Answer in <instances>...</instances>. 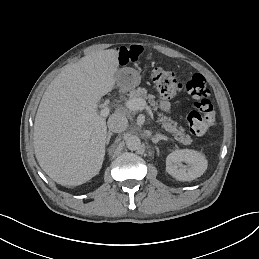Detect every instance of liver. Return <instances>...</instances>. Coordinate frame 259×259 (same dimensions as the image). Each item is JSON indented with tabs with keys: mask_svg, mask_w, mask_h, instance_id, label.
Masks as SVG:
<instances>
[{
	"mask_svg": "<svg viewBox=\"0 0 259 259\" xmlns=\"http://www.w3.org/2000/svg\"><path fill=\"white\" fill-rule=\"evenodd\" d=\"M118 52L96 50L66 65L39 104L33 144L41 168L61 185L97 175L105 156L107 126L98 102L114 88Z\"/></svg>",
	"mask_w": 259,
	"mask_h": 259,
	"instance_id": "1",
	"label": "liver"
}]
</instances>
